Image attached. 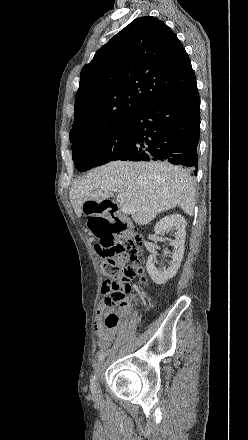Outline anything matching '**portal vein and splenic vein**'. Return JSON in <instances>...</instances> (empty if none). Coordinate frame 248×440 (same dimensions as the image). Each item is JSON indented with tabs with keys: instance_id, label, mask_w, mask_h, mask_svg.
Here are the masks:
<instances>
[{
	"instance_id": "18ae733b",
	"label": "portal vein and splenic vein",
	"mask_w": 248,
	"mask_h": 440,
	"mask_svg": "<svg viewBox=\"0 0 248 440\" xmlns=\"http://www.w3.org/2000/svg\"><path fill=\"white\" fill-rule=\"evenodd\" d=\"M105 190H109L105 189ZM112 191L116 192L117 189H111ZM117 201L122 205L121 211L125 214H132L134 212V209L129 205L125 203V200L123 196L117 195Z\"/></svg>"
}]
</instances>
